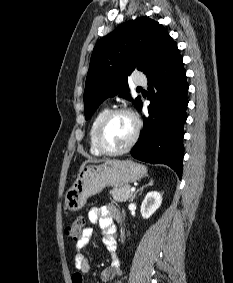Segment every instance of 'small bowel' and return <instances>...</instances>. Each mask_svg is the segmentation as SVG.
<instances>
[{"mask_svg":"<svg viewBox=\"0 0 233 283\" xmlns=\"http://www.w3.org/2000/svg\"><path fill=\"white\" fill-rule=\"evenodd\" d=\"M88 218L91 223L99 224L103 232L102 243L113 255L111 265L104 269L101 273L102 281L110 282L120 277L122 274L119 259L115 255L117 249L115 221L120 218L119 212L113 205L106 204L101 207H92L88 212ZM92 235L93 229L91 227H87L83 230L81 237L76 243V272L72 276L73 283H84L83 274L87 273L89 270V261L84 254V249L89 244Z\"/></svg>","mask_w":233,"mask_h":283,"instance_id":"c3829d8e","label":"small bowel"}]
</instances>
